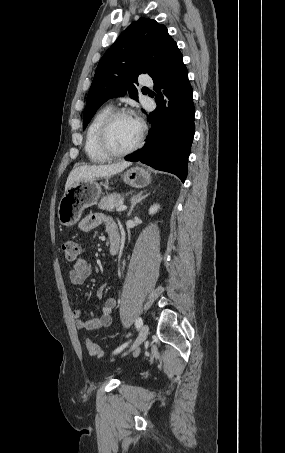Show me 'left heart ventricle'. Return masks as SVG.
Wrapping results in <instances>:
<instances>
[{
    "mask_svg": "<svg viewBox=\"0 0 285 453\" xmlns=\"http://www.w3.org/2000/svg\"><path fill=\"white\" fill-rule=\"evenodd\" d=\"M139 134L140 124L135 118L119 117L111 128V144L116 150H125L137 141Z\"/></svg>",
    "mask_w": 285,
    "mask_h": 453,
    "instance_id": "left-heart-ventricle-1",
    "label": "left heart ventricle"
}]
</instances>
